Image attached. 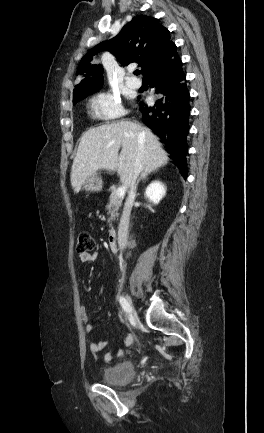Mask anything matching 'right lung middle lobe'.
<instances>
[{"mask_svg": "<svg viewBox=\"0 0 264 433\" xmlns=\"http://www.w3.org/2000/svg\"><path fill=\"white\" fill-rule=\"evenodd\" d=\"M84 97H85V96H83V97H81V98H79V99H77V100H74L73 103L76 104L77 102H79V101H80L81 99H83Z\"/></svg>", "mask_w": 264, "mask_h": 433, "instance_id": "obj_1", "label": "right lung middle lobe"}]
</instances>
